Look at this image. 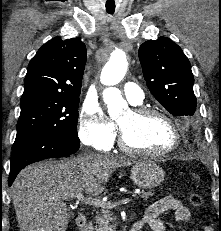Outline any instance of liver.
Segmentation results:
<instances>
[{
	"label": "liver",
	"mask_w": 221,
	"mask_h": 231,
	"mask_svg": "<svg viewBox=\"0 0 221 231\" xmlns=\"http://www.w3.org/2000/svg\"><path fill=\"white\" fill-rule=\"evenodd\" d=\"M133 163L123 156L89 154L27 166L11 191L20 231H66L69 214L64 201L82 192L100 194L116 168Z\"/></svg>",
	"instance_id": "obj_1"
}]
</instances>
